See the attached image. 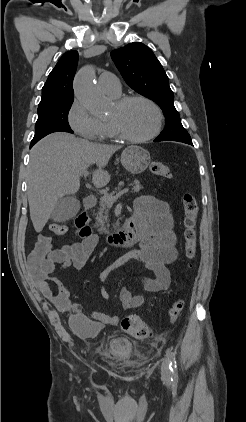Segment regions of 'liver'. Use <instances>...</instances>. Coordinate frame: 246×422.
<instances>
[{
    "instance_id": "obj_1",
    "label": "liver",
    "mask_w": 246,
    "mask_h": 422,
    "mask_svg": "<svg viewBox=\"0 0 246 422\" xmlns=\"http://www.w3.org/2000/svg\"><path fill=\"white\" fill-rule=\"evenodd\" d=\"M120 148L91 143L68 133H53L40 140L30 152L27 176L30 217L35 231L43 230L59 199L79 190L80 177L90 165L97 166L92 174L94 186L107 185L110 175L104 168Z\"/></svg>"
}]
</instances>
